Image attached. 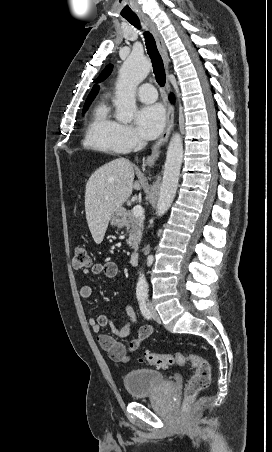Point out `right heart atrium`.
I'll use <instances>...</instances> for the list:
<instances>
[{
  "label": "right heart atrium",
  "mask_w": 272,
  "mask_h": 452,
  "mask_svg": "<svg viewBox=\"0 0 272 452\" xmlns=\"http://www.w3.org/2000/svg\"><path fill=\"white\" fill-rule=\"evenodd\" d=\"M118 138L123 152H129L140 144V138L136 130L128 125H121Z\"/></svg>",
  "instance_id": "1"
}]
</instances>
